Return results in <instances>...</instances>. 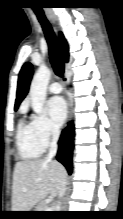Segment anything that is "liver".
<instances>
[{"label":"liver","mask_w":123,"mask_h":219,"mask_svg":"<svg viewBox=\"0 0 123 219\" xmlns=\"http://www.w3.org/2000/svg\"><path fill=\"white\" fill-rule=\"evenodd\" d=\"M66 178L65 168L55 160L17 162L13 174L12 211H31L48 195L57 196Z\"/></svg>","instance_id":"6515ba94"}]
</instances>
